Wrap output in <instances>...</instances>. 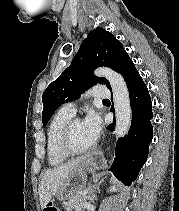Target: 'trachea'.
I'll return each mask as SVG.
<instances>
[{
  "label": "trachea",
  "instance_id": "3493384b",
  "mask_svg": "<svg viewBox=\"0 0 179 211\" xmlns=\"http://www.w3.org/2000/svg\"><path fill=\"white\" fill-rule=\"evenodd\" d=\"M103 101L106 102V101H109V100L108 99H104Z\"/></svg>",
  "mask_w": 179,
  "mask_h": 211
}]
</instances>
